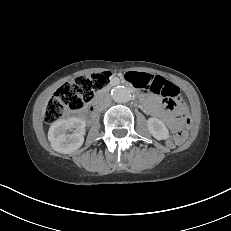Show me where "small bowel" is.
<instances>
[{"instance_id": "small-bowel-1", "label": "small bowel", "mask_w": 231, "mask_h": 231, "mask_svg": "<svg viewBox=\"0 0 231 231\" xmlns=\"http://www.w3.org/2000/svg\"><path fill=\"white\" fill-rule=\"evenodd\" d=\"M133 76H140V79L136 80ZM127 79L133 86L150 91V94L145 96L144 101V109L147 113L164 118L168 125L175 124L176 119L171 113L173 107L172 100L167 97L161 99L157 95H154H161L160 91L166 86H174L173 83L163 76L148 72H129ZM180 109L184 111L185 107L181 105Z\"/></svg>"}]
</instances>
